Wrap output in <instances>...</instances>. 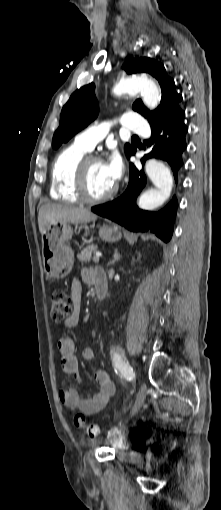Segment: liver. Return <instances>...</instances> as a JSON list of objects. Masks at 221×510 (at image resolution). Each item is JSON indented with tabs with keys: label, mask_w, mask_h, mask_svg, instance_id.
Returning a JSON list of instances; mask_svg holds the SVG:
<instances>
[{
	"label": "liver",
	"mask_w": 221,
	"mask_h": 510,
	"mask_svg": "<svg viewBox=\"0 0 221 510\" xmlns=\"http://www.w3.org/2000/svg\"><path fill=\"white\" fill-rule=\"evenodd\" d=\"M96 219L97 215L85 208L63 204H46L39 210L38 225L39 231L43 235L46 228L56 221L79 224L95 221Z\"/></svg>",
	"instance_id": "6515ba94"
}]
</instances>
